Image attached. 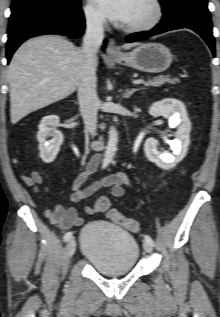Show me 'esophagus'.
Segmentation results:
<instances>
[{"instance_id":"esophagus-1","label":"esophagus","mask_w":220,"mask_h":317,"mask_svg":"<svg viewBox=\"0 0 220 317\" xmlns=\"http://www.w3.org/2000/svg\"><path fill=\"white\" fill-rule=\"evenodd\" d=\"M120 54L119 49L115 45V41L110 39L108 47H107V55L109 57H114Z\"/></svg>"}]
</instances>
